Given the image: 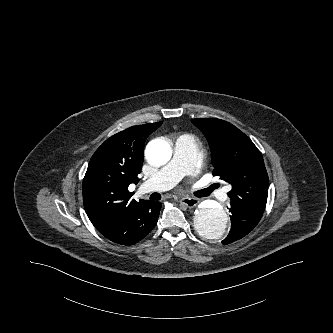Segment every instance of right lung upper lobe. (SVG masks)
Returning <instances> with one entry per match:
<instances>
[{"label": "right lung upper lobe", "instance_id": "1", "mask_svg": "<svg viewBox=\"0 0 333 333\" xmlns=\"http://www.w3.org/2000/svg\"><path fill=\"white\" fill-rule=\"evenodd\" d=\"M161 124L137 125L121 131L107 139L90 159L83 179V203L100 233L138 203L130 200L128 186L139 182L145 140Z\"/></svg>", "mask_w": 333, "mask_h": 333}]
</instances>
